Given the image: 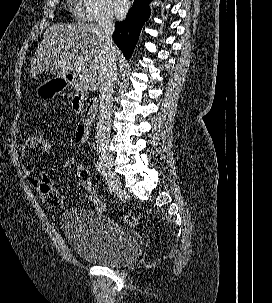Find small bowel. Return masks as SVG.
Masks as SVG:
<instances>
[{"mask_svg":"<svg viewBox=\"0 0 272 303\" xmlns=\"http://www.w3.org/2000/svg\"><path fill=\"white\" fill-rule=\"evenodd\" d=\"M34 142L35 136H29L26 140L17 147V156L18 158L26 157L27 153L30 150H34ZM22 173L25 177H31V182L38 190V192L44 197L51 191H55L54 188V179L53 177L47 172H40L37 175L32 176L30 168L27 166L22 167Z\"/></svg>","mask_w":272,"mask_h":303,"instance_id":"obj_1","label":"small bowel"}]
</instances>
